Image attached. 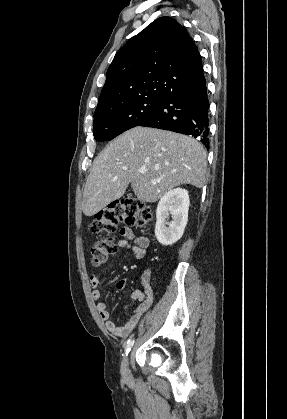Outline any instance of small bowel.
I'll return each mask as SVG.
<instances>
[{"instance_id": "obj_1", "label": "small bowel", "mask_w": 287, "mask_h": 419, "mask_svg": "<svg viewBox=\"0 0 287 419\" xmlns=\"http://www.w3.org/2000/svg\"><path fill=\"white\" fill-rule=\"evenodd\" d=\"M122 239L118 241V246L122 250L130 251L136 258H142L145 255L149 240L145 236L136 235L130 228L124 227L121 229ZM133 241V243H131ZM150 273L146 271L143 275L142 282L145 287L144 291L135 290L131 293V299L139 301L138 307L131 313L128 320L123 325H117L110 319V312L106 305L102 302L97 303L96 310L99 317L105 323L106 329L115 336L125 337L136 327L142 315L148 310L151 304L150 294L147 290ZM99 276L92 274L89 282L92 290V298L98 300L100 298V291L97 289L99 285ZM127 281L125 279L117 281L115 287L118 291H124Z\"/></svg>"}]
</instances>
